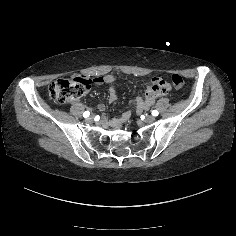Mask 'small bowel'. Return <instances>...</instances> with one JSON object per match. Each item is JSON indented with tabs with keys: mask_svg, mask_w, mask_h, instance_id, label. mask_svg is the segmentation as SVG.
Masks as SVG:
<instances>
[{
	"mask_svg": "<svg viewBox=\"0 0 236 236\" xmlns=\"http://www.w3.org/2000/svg\"><path fill=\"white\" fill-rule=\"evenodd\" d=\"M96 81L97 82L111 83L113 81V77L108 75V76H105L103 78H97ZM156 82L162 83V79H156ZM116 97H117L116 91L113 88H111L110 91H109V99H110V101H114L116 99ZM151 103H152L151 99L145 100L144 103L141 104V107L142 108H146L149 105H151Z\"/></svg>",
	"mask_w": 236,
	"mask_h": 236,
	"instance_id": "1",
	"label": "small bowel"
}]
</instances>
